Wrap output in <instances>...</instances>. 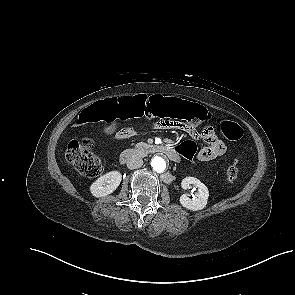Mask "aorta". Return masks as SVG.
Here are the masks:
<instances>
[{
	"label": "aorta",
	"instance_id": "obj_1",
	"mask_svg": "<svg viewBox=\"0 0 295 295\" xmlns=\"http://www.w3.org/2000/svg\"><path fill=\"white\" fill-rule=\"evenodd\" d=\"M166 160L161 156H155L151 160V167L157 173H163L166 170Z\"/></svg>",
	"mask_w": 295,
	"mask_h": 295
}]
</instances>
